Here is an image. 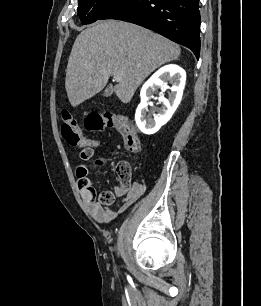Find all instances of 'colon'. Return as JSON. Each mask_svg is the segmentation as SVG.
<instances>
[{
    "label": "colon",
    "mask_w": 261,
    "mask_h": 306,
    "mask_svg": "<svg viewBox=\"0 0 261 306\" xmlns=\"http://www.w3.org/2000/svg\"><path fill=\"white\" fill-rule=\"evenodd\" d=\"M85 126L87 130L93 132L101 131L107 126L114 127L120 133L124 147L128 152L137 153L140 150V142L135 129L125 117L112 114L101 115L98 113H91L86 117ZM61 133L68 144L82 149L81 157H87L88 153L92 150V140L83 135L78 122L67 109L61 110ZM98 163L100 164L101 162L99 161ZM115 172L120 180L121 188L127 189L131 179V169L128 163L119 162L116 165ZM78 186L81 190L91 192L92 201L97 200V202L106 206L112 205L118 194L117 191H105L96 199L95 190L89 178L85 175L78 179Z\"/></svg>",
    "instance_id": "5ec220e1"
}]
</instances>
